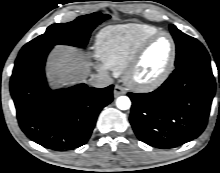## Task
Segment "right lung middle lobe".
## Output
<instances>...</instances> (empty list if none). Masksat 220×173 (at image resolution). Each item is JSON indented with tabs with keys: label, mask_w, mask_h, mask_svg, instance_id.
<instances>
[{
	"label": "right lung middle lobe",
	"mask_w": 220,
	"mask_h": 173,
	"mask_svg": "<svg viewBox=\"0 0 220 173\" xmlns=\"http://www.w3.org/2000/svg\"><path fill=\"white\" fill-rule=\"evenodd\" d=\"M108 18H110L109 15L96 12L80 16L69 23L53 24L44 34L24 45L19 55L57 44L83 47L88 43L93 29Z\"/></svg>",
	"instance_id": "obj_1"
}]
</instances>
